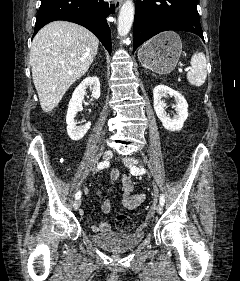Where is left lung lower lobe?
Here are the masks:
<instances>
[{"label":"left lung lower lobe","mask_w":240,"mask_h":281,"mask_svg":"<svg viewBox=\"0 0 240 281\" xmlns=\"http://www.w3.org/2000/svg\"><path fill=\"white\" fill-rule=\"evenodd\" d=\"M167 30L192 32L203 40L197 0H138L133 52L146 40Z\"/></svg>","instance_id":"left-lung-lower-lobe-1"}]
</instances>
